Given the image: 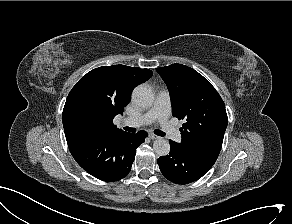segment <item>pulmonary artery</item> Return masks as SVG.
<instances>
[{
  "label": "pulmonary artery",
  "instance_id": "pulmonary-artery-1",
  "mask_svg": "<svg viewBox=\"0 0 292 224\" xmlns=\"http://www.w3.org/2000/svg\"><path fill=\"white\" fill-rule=\"evenodd\" d=\"M170 112L171 97L167 91H161L158 93L153 106L147 112L137 118H125L123 124L131 127H140L158 121L169 138L179 140L180 132L169 121Z\"/></svg>",
  "mask_w": 292,
  "mask_h": 224
}]
</instances>
